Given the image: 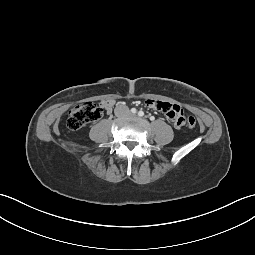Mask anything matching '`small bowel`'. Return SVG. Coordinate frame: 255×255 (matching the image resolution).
I'll return each instance as SVG.
<instances>
[{
  "label": "small bowel",
  "mask_w": 255,
  "mask_h": 255,
  "mask_svg": "<svg viewBox=\"0 0 255 255\" xmlns=\"http://www.w3.org/2000/svg\"><path fill=\"white\" fill-rule=\"evenodd\" d=\"M115 100L107 99L100 102L101 107L107 112H111L115 106ZM146 105L158 112L163 113L171 122L173 130L178 131L186 124L185 113L179 105L171 104L160 100L148 99Z\"/></svg>",
  "instance_id": "small-bowel-1"
}]
</instances>
